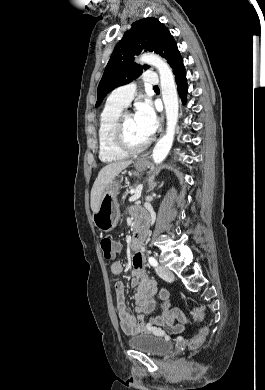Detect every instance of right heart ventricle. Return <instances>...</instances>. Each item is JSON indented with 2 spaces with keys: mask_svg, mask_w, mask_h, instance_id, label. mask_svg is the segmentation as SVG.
<instances>
[{
  "mask_svg": "<svg viewBox=\"0 0 265 390\" xmlns=\"http://www.w3.org/2000/svg\"><path fill=\"white\" fill-rule=\"evenodd\" d=\"M123 107L107 102L100 114L98 127L99 158L105 163L118 162L126 158V154L120 151L113 139V131Z\"/></svg>",
  "mask_w": 265,
  "mask_h": 390,
  "instance_id": "obj_1",
  "label": "right heart ventricle"
}]
</instances>
